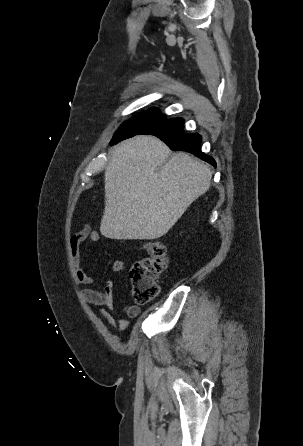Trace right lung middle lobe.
I'll return each mask as SVG.
<instances>
[{
  "label": "right lung middle lobe",
  "instance_id": "1",
  "mask_svg": "<svg viewBox=\"0 0 303 446\" xmlns=\"http://www.w3.org/2000/svg\"><path fill=\"white\" fill-rule=\"evenodd\" d=\"M164 118L166 116L159 113V110L143 111L119 127L114 134L111 144H116L124 139L140 134Z\"/></svg>",
  "mask_w": 303,
  "mask_h": 446
}]
</instances>
